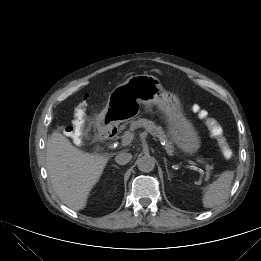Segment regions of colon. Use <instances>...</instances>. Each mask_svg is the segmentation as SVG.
Instances as JSON below:
<instances>
[{
	"mask_svg": "<svg viewBox=\"0 0 261 261\" xmlns=\"http://www.w3.org/2000/svg\"><path fill=\"white\" fill-rule=\"evenodd\" d=\"M79 109L83 110V105H80ZM193 111L198 115L200 119H202L213 138H215L217 145L219 147L220 154L225 159H230L233 156V151L225 137V133L221 125L213 118L208 116V113L201 109L198 105L193 106ZM66 134L78 141L80 138V132L74 126H70L66 128Z\"/></svg>",
	"mask_w": 261,
	"mask_h": 261,
	"instance_id": "1",
	"label": "colon"
}]
</instances>
